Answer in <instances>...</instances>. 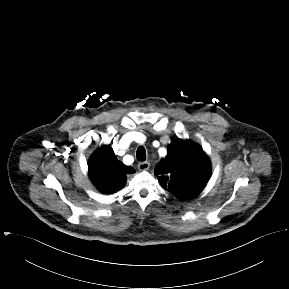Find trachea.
<instances>
[{"instance_id": "3493384b", "label": "trachea", "mask_w": 289, "mask_h": 289, "mask_svg": "<svg viewBox=\"0 0 289 289\" xmlns=\"http://www.w3.org/2000/svg\"><path fill=\"white\" fill-rule=\"evenodd\" d=\"M136 157L139 161H145L146 160V151H145L144 147L140 146L137 149Z\"/></svg>"}]
</instances>
